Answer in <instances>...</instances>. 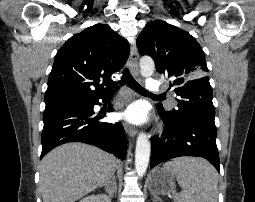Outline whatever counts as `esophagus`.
<instances>
[{
    "mask_svg": "<svg viewBox=\"0 0 255 202\" xmlns=\"http://www.w3.org/2000/svg\"><path fill=\"white\" fill-rule=\"evenodd\" d=\"M127 66L135 73L138 70V50L136 43H132L130 56L127 62ZM124 130L130 137H134L137 134V130L127 122L123 123Z\"/></svg>",
    "mask_w": 255,
    "mask_h": 202,
    "instance_id": "1",
    "label": "esophagus"
}]
</instances>
